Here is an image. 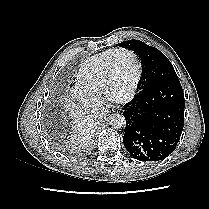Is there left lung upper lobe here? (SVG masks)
Wrapping results in <instances>:
<instances>
[{
    "label": "left lung upper lobe",
    "mask_w": 209,
    "mask_h": 209,
    "mask_svg": "<svg viewBox=\"0 0 209 209\" xmlns=\"http://www.w3.org/2000/svg\"><path fill=\"white\" fill-rule=\"evenodd\" d=\"M118 45L130 49L140 56L146 73L142 91L149 90L165 80L178 78L171 62L158 49L140 40H128Z\"/></svg>",
    "instance_id": "obj_1"
}]
</instances>
